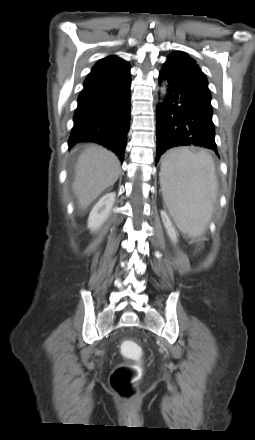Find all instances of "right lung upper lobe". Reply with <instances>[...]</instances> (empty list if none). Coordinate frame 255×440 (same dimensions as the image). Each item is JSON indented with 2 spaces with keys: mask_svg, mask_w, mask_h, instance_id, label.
Here are the masks:
<instances>
[{
  "mask_svg": "<svg viewBox=\"0 0 255 440\" xmlns=\"http://www.w3.org/2000/svg\"><path fill=\"white\" fill-rule=\"evenodd\" d=\"M127 65H128L127 62H125L123 59L117 56L111 55L105 57L95 64V66L92 68L91 72L89 73L88 77L86 78L85 82H89L104 77Z\"/></svg>",
  "mask_w": 255,
  "mask_h": 440,
  "instance_id": "1",
  "label": "right lung upper lobe"
}]
</instances>
